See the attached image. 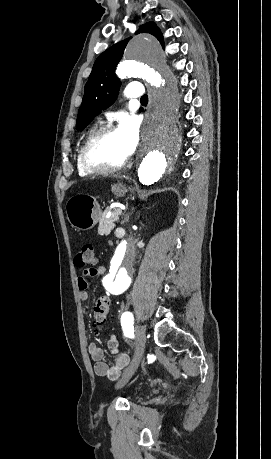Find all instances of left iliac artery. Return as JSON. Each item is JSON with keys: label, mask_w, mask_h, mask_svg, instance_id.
<instances>
[{"label": "left iliac artery", "mask_w": 271, "mask_h": 459, "mask_svg": "<svg viewBox=\"0 0 271 459\" xmlns=\"http://www.w3.org/2000/svg\"><path fill=\"white\" fill-rule=\"evenodd\" d=\"M134 317L131 312H124L121 316V326L123 336H132Z\"/></svg>", "instance_id": "44dca946"}]
</instances>
